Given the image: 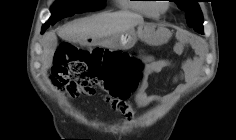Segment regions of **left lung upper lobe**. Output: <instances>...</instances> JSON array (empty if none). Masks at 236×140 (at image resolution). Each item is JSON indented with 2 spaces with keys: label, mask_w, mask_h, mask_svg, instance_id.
I'll return each instance as SVG.
<instances>
[{
  "label": "left lung upper lobe",
  "mask_w": 236,
  "mask_h": 140,
  "mask_svg": "<svg viewBox=\"0 0 236 140\" xmlns=\"http://www.w3.org/2000/svg\"><path fill=\"white\" fill-rule=\"evenodd\" d=\"M174 2L186 12V21L189 27L203 34V15L197 0H174Z\"/></svg>",
  "instance_id": "1"
}]
</instances>
